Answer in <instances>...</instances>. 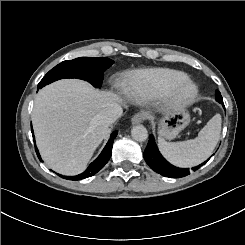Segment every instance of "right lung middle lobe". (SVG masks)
I'll return each mask as SVG.
<instances>
[{
    "mask_svg": "<svg viewBox=\"0 0 245 245\" xmlns=\"http://www.w3.org/2000/svg\"><path fill=\"white\" fill-rule=\"evenodd\" d=\"M113 63V60L105 57H81L71 61H63L43 77L38 88L62 78H79L90 82L95 87H100L103 80L102 72Z\"/></svg>",
    "mask_w": 245,
    "mask_h": 245,
    "instance_id": "dd1d6c3e",
    "label": "right lung middle lobe"
}]
</instances>
